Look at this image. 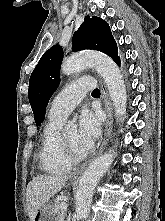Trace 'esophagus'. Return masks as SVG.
<instances>
[{
  "label": "esophagus",
  "mask_w": 165,
  "mask_h": 221,
  "mask_svg": "<svg viewBox=\"0 0 165 221\" xmlns=\"http://www.w3.org/2000/svg\"><path fill=\"white\" fill-rule=\"evenodd\" d=\"M100 86H101V93H102V97L104 99V106H105V112L107 115V120L105 123V133H104V140L102 142V145L100 146L98 153L97 154H101L102 151L105 149L109 138L111 136V132H112V125H113V110H112V103L109 97V93L106 87V84L100 80ZM90 162V161H89ZM89 162L84 163L75 173L74 176L80 175L88 166Z\"/></svg>",
  "instance_id": "34e87169"
}]
</instances>
